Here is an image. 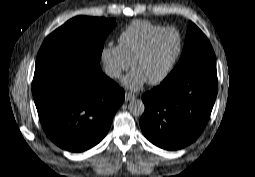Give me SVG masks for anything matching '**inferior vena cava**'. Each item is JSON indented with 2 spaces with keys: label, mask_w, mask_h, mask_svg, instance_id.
Returning <instances> with one entry per match:
<instances>
[{
  "label": "inferior vena cava",
  "mask_w": 255,
  "mask_h": 177,
  "mask_svg": "<svg viewBox=\"0 0 255 177\" xmlns=\"http://www.w3.org/2000/svg\"><path fill=\"white\" fill-rule=\"evenodd\" d=\"M106 74L107 76L111 77V78H117L120 76V72L118 70L115 69H106Z\"/></svg>",
  "instance_id": "1"
}]
</instances>
